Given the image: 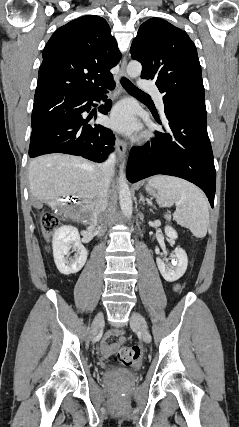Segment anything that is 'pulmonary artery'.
<instances>
[{"mask_svg":"<svg viewBox=\"0 0 239 427\" xmlns=\"http://www.w3.org/2000/svg\"><path fill=\"white\" fill-rule=\"evenodd\" d=\"M139 86L142 90L151 93L155 97L158 108L161 111H164V103L157 86L154 83L148 81H141Z\"/></svg>","mask_w":239,"mask_h":427,"instance_id":"obj_1","label":"pulmonary artery"}]
</instances>
